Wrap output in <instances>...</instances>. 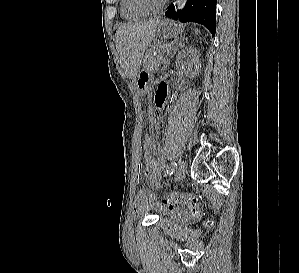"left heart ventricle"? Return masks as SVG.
<instances>
[{"label": "left heart ventricle", "mask_w": 299, "mask_h": 273, "mask_svg": "<svg viewBox=\"0 0 299 273\" xmlns=\"http://www.w3.org/2000/svg\"><path fill=\"white\" fill-rule=\"evenodd\" d=\"M148 3L152 6L158 5L162 0H147Z\"/></svg>", "instance_id": "1"}]
</instances>
